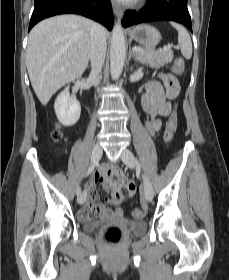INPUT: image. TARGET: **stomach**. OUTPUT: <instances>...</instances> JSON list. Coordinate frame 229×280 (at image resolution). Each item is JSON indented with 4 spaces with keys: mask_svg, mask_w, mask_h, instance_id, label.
Instances as JSON below:
<instances>
[{
    "mask_svg": "<svg viewBox=\"0 0 229 280\" xmlns=\"http://www.w3.org/2000/svg\"><path fill=\"white\" fill-rule=\"evenodd\" d=\"M129 36L146 49L154 50L161 40L160 32L153 26L140 24L129 31Z\"/></svg>",
    "mask_w": 229,
    "mask_h": 280,
    "instance_id": "stomach-1",
    "label": "stomach"
}]
</instances>
